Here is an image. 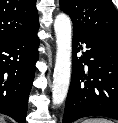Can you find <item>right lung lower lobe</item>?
<instances>
[{
    "mask_svg": "<svg viewBox=\"0 0 118 123\" xmlns=\"http://www.w3.org/2000/svg\"><path fill=\"white\" fill-rule=\"evenodd\" d=\"M37 31L0 43V113L18 123L26 121L28 97L39 57Z\"/></svg>",
    "mask_w": 118,
    "mask_h": 123,
    "instance_id": "right-lung-lower-lobe-1",
    "label": "right lung lower lobe"
}]
</instances>
